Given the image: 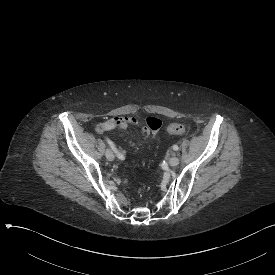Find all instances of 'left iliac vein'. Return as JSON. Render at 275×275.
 <instances>
[{
  "label": "left iliac vein",
  "mask_w": 275,
  "mask_h": 275,
  "mask_svg": "<svg viewBox=\"0 0 275 275\" xmlns=\"http://www.w3.org/2000/svg\"><path fill=\"white\" fill-rule=\"evenodd\" d=\"M168 163L171 167H175L179 164V159L178 157L174 154L170 157V159L168 160Z\"/></svg>",
  "instance_id": "1"
}]
</instances>
